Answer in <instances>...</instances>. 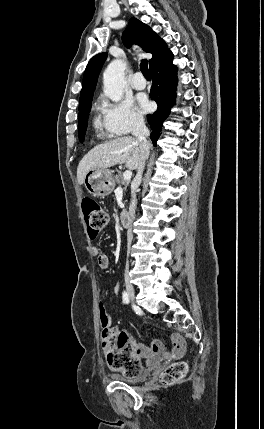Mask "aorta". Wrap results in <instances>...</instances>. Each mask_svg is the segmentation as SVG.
I'll use <instances>...</instances> for the list:
<instances>
[{
	"mask_svg": "<svg viewBox=\"0 0 264 429\" xmlns=\"http://www.w3.org/2000/svg\"><path fill=\"white\" fill-rule=\"evenodd\" d=\"M124 69L125 64L121 60H114L107 66L103 74L104 94L115 102L120 101L123 96Z\"/></svg>",
	"mask_w": 264,
	"mask_h": 429,
	"instance_id": "obj_1",
	"label": "aorta"
}]
</instances>
